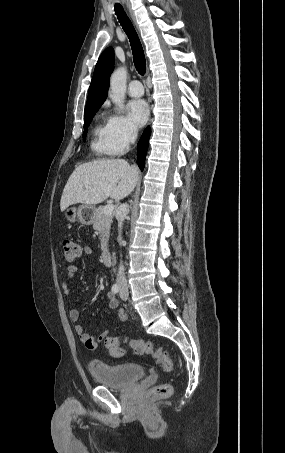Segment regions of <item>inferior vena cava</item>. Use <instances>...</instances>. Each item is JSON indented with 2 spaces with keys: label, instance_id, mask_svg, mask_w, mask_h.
<instances>
[{
  "label": "inferior vena cava",
  "instance_id": "1",
  "mask_svg": "<svg viewBox=\"0 0 285 453\" xmlns=\"http://www.w3.org/2000/svg\"><path fill=\"white\" fill-rule=\"evenodd\" d=\"M136 138H137L136 129H132L131 133H130V137H129L130 142L134 143ZM120 209H121V215L118 217V229H119L118 241H119V244L122 245L123 244V240H122V237H121L122 225H123V220H124L126 214H128V212H129V209H128V205L127 204H122ZM124 271H125V269H124V266H123V264L121 262L120 265H119L117 278H116L117 283H119V284H125L126 283V277H125V272Z\"/></svg>",
  "mask_w": 285,
  "mask_h": 453
}]
</instances>
